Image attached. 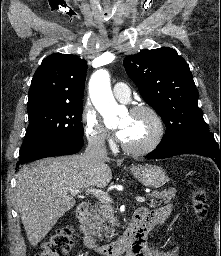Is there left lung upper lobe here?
Listing matches in <instances>:
<instances>
[{"label":"left lung upper lobe","mask_w":221,"mask_h":256,"mask_svg":"<svg viewBox=\"0 0 221 256\" xmlns=\"http://www.w3.org/2000/svg\"><path fill=\"white\" fill-rule=\"evenodd\" d=\"M123 64L143 99L166 125L163 141L209 131L198 107V90L189 65L176 50H145L127 56Z\"/></svg>","instance_id":"5c2ea615"}]
</instances>
